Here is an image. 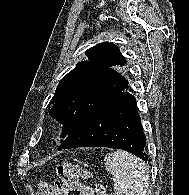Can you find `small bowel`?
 Here are the masks:
<instances>
[{"label": "small bowel", "instance_id": "1", "mask_svg": "<svg viewBox=\"0 0 189 195\" xmlns=\"http://www.w3.org/2000/svg\"><path fill=\"white\" fill-rule=\"evenodd\" d=\"M82 195H95V191L90 186L82 185Z\"/></svg>", "mask_w": 189, "mask_h": 195}]
</instances>
